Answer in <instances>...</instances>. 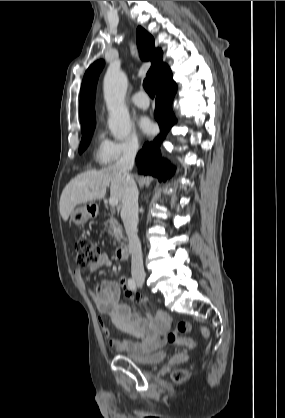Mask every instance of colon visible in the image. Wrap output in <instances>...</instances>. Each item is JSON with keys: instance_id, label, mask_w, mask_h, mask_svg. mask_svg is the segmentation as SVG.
I'll return each mask as SVG.
<instances>
[{"instance_id": "colon-1", "label": "colon", "mask_w": 285, "mask_h": 418, "mask_svg": "<svg viewBox=\"0 0 285 418\" xmlns=\"http://www.w3.org/2000/svg\"><path fill=\"white\" fill-rule=\"evenodd\" d=\"M76 261L79 266L86 267L99 258V253L94 244L87 238L81 237L74 243ZM191 326L186 321H179L176 327L167 333L166 339L169 343L190 345L188 338L182 337V335L190 332ZM202 335L208 339L210 333L207 328L201 329ZM176 382H181L187 377V372L184 370L175 371L173 374Z\"/></svg>"}]
</instances>
